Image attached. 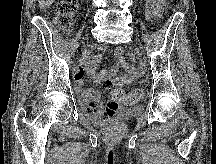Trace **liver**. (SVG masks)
<instances>
[{
	"label": "liver",
	"instance_id": "obj_1",
	"mask_svg": "<svg viewBox=\"0 0 216 164\" xmlns=\"http://www.w3.org/2000/svg\"><path fill=\"white\" fill-rule=\"evenodd\" d=\"M55 0H38L39 2V7L40 9H46L49 6H51V4H53Z\"/></svg>",
	"mask_w": 216,
	"mask_h": 164
}]
</instances>
